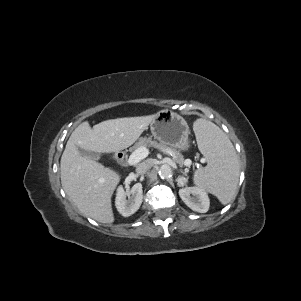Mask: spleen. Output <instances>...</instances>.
I'll list each match as a JSON object with an SVG mask.
<instances>
[{"mask_svg":"<svg viewBox=\"0 0 301 301\" xmlns=\"http://www.w3.org/2000/svg\"><path fill=\"white\" fill-rule=\"evenodd\" d=\"M198 147L207 166L194 173V183L228 204L236 194L239 180V160L226 134L214 123L198 119L194 122Z\"/></svg>","mask_w":301,"mask_h":301,"instance_id":"obj_1","label":"spleen"}]
</instances>
